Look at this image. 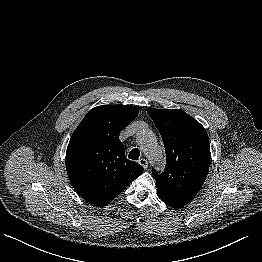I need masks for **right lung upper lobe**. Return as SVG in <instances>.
I'll return each instance as SVG.
<instances>
[{
	"label": "right lung upper lobe",
	"mask_w": 262,
	"mask_h": 262,
	"mask_svg": "<svg viewBox=\"0 0 262 262\" xmlns=\"http://www.w3.org/2000/svg\"><path fill=\"white\" fill-rule=\"evenodd\" d=\"M131 105L91 109L70 138L66 152L68 177L76 192L91 204L112 201L144 168L125 157L119 134L138 115Z\"/></svg>",
	"instance_id": "obj_1"
}]
</instances>
